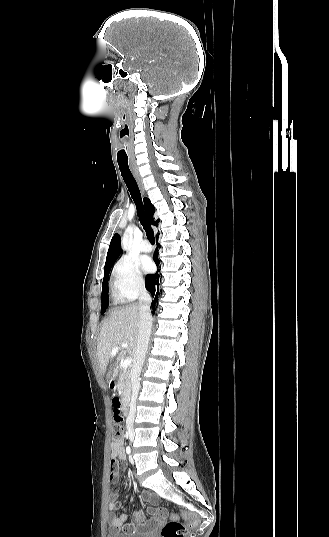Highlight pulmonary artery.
Instances as JSON below:
<instances>
[{"label": "pulmonary artery", "instance_id": "obj_1", "mask_svg": "<svg viewBox=\"0 0 329 537\" xmlns=\"http://www.w3.org/2000/svg\"><path fill=\"white\" fill-rule=\"evenodd\" d=\"M140 250L142 252L148 253V252H150L152 250V247H151L150 243L147 240H144L140 245Z\"/></svg>", "mask_w": 329, "mask_h": 537}]
</instances>
